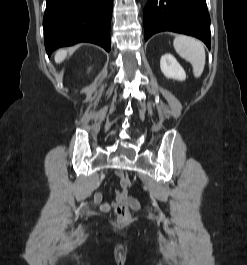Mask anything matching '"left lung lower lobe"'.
<instances>
[{
  "label": "left lung lower lobe",
  "instance_id": "0a47b994",
  "mask_svg": "<svg viewBox=\"0 0 247 265\" xmlns=\"http://www.w3.org/2000/svg\"><path fill=\"white\" fill-rule=\"evenodd\" d=\"M145 40L161 31L194 36L210 48V16L205 0H148L143 13Z\"/></svg>",
  "mask_w": 247,
  "mask_h": 265
}]
</instances>
